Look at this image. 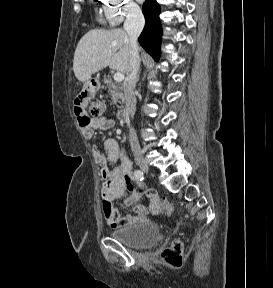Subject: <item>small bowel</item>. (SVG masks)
<instances>
[{
    "label": "small bowel",
    "instance_id": "1",
    "mask_svg": "<svg viewBox=\"0 0 273 288\" xmlns=\"http://www.w3.org/2000/svg\"><path fill=\"white\" fill-rule=\"evenodd\" d=\"M114 126V121L103 116L95 115L86 127H82V134L87 140H91L96 130H108ZM106 155L95 153V160L101 165L100 175L103 179L101 188L102 205L105 217L113 228L133 225L144 222L148 215L146 206L135 205L136 215L121 217L115 209L113 202L121 198L128 190L131 195L125 200L126 206L135 204L145 196L150 202V211L158 214L161 210L158 194L139 182L132 173L131 161L115 139L108 138L104 141ZM119 162V166L110 168V163Z\"/></svg>",
    "mask_w": 273,
    "mask_h": 288
}]
</instances>
